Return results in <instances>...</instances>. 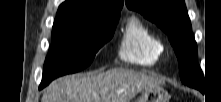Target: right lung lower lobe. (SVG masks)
I'll use <instances>...</instances> for the list:
<instances>
[{"label":"right lung lower lobe","instance_id":"right-lung-lower-lobe-1","mask_svg":"<svg viewBox=\"0 0 221 102\" xmlns=\"http://www.w3.org/2000/svg\"><path fill=\"white\" fill-rule=\"evenodd\" d=\"M43 87H45L44 85H40L39 89H42Z\"/></svg>","mask_w":221,"mask_h":102}]
</instances>
